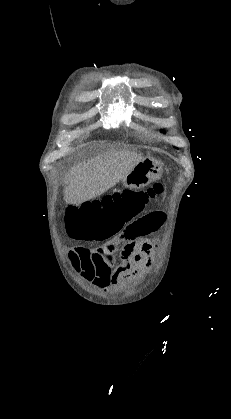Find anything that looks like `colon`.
Here are the masks:
<instances>
[{"label": "colon", "instance_id": "obj_1", "mask_svg": "<svg viewBox=\"0 0 231 419\" xmlns=\"http://www.w3.org/2000/svg\"><path fill=\"white\" fill-rule=\"evenodd\" d=\"M162 190L161 184H154L146 190L116 192L82 207L70 206L66 211V226L74 235H83L92 241L109 240L131 223L146 203Z\"/></svg>", "mask_w": 231, "mask_h": 419}]
</instances>
